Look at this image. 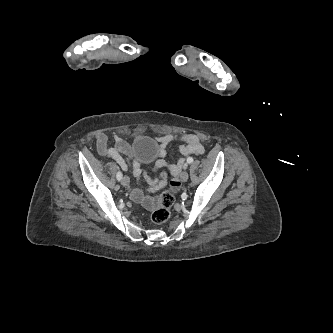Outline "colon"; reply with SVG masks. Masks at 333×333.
I'll return each instance as SVG.
<instances>
[{
  "label": "colon",
  "mask_w": 333,
  "mask_h": 333,
  "mask_svg": "<svg viewBox=\"0 0 333 333\" xmlns=\"http://www.w3.org/2000/svg\"><path fill=\"white\" fill-rule=\"evenodd\" d=\"M175 197L173 192L164 191L159 197V205L152 212L151 219L156 224H163L169 220L171 216V207L174 203Z\"/></svg>",
  "instance_id": "obj_1"
}]
</instances>
